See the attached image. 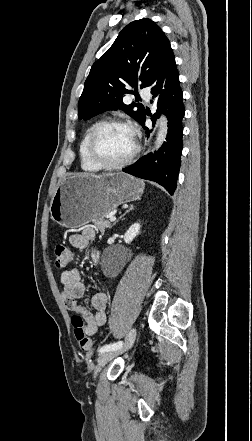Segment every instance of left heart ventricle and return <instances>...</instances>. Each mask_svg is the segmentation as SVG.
Segmentation results:
<instances>
[{
	"mask_svg": "<svg viewBox=\"0 0 252 441\" xmlns=\"http://www.w3.org/2000/svg\"><path fill=\"white\" fill-rule=\"evenodd\" d=\"M134 138L124 126H107L95 140L96 155L107 163H117L125 159L133 150Z\"/></svg>",
	"mask_w": 252,
	"mask_h": 441,
	"instance_id": "obj_1",
	"label": "left heart ventricle"
}]
</instances>
